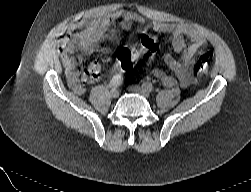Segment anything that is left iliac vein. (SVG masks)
Here are the masks:
<instances>
[{
    "label": "left iliac vein",
    "instance_id": "obj_1",
    "mask_svg": "<svg viewBox=\"0 0 251 192\" xmlns=\"http://www.w3.org/2000/svg\"><path fill=\"white\" fill-rule=\"evenodd\" d=\"M129 91L133 93H137L139 95H142L145 98H149L150 94L149 91H147L144 87L142 86H137V85H132L128 88Z\"/></svg>",
    "mask_w": 251,
    "mask_h": 192
}]
</instances>
